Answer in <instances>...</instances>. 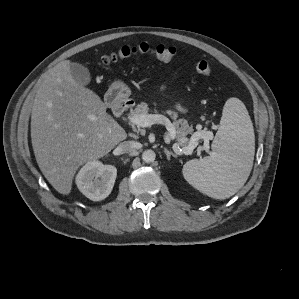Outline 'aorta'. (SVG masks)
Returning a JSON list of instances; mask_svg holds the SVG:
<instances>
[{
    "label": "aorta",
    "instance_id": "1",
    "mask_svg": "<svg viewBox=\"0 0 299 299\" xmlns=\"http://www.w3.org/2000/svg\"><path fill=\"white\" fill-rule=\"evenodd\" d=\"M156 158V154L153 150H145L143 153H142V160L145 162V163H151L155 160Z\"/></svg>",
    "mask_w": 299,
    "mask_h": 299
}]
</instances>
